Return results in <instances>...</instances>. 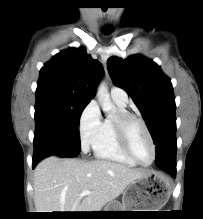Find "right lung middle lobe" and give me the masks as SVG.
<instances>
[{
	"label": "right lung middle lobe",
	"instance_id": "obj_1",
	"mask_svg": "<svg viewBox=\"0 0 203 219\" xmlns=\"http://www.w3.org/2000/svg\"><path fill=\"white\" fill-rule=\"evenodd\" d=\"M34 149L43 157H74L80 152L79 121L90 102L55 89H37Z\"/></svg>",
	"mask_w": 203,
	"mask_h": 219
}]
</instances>
